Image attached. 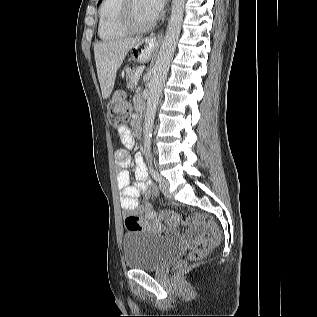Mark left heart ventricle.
<instances>
[{"label": "left heart ventricle", "instance_id": "obj_1", "mask_svg": "<svg viewBox=\"0 0 317 317\" xmlns=\"http://www.w3.org/2000/svg\"><path fill=\"white\" fill-rule=\"evenodd\" d=\"M132 18L136 25L147 24L153 19L146 0H132Z\"/></svg>", "mask_w": 317, "mask_h": 317}]
</instances>
